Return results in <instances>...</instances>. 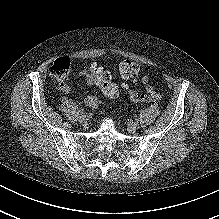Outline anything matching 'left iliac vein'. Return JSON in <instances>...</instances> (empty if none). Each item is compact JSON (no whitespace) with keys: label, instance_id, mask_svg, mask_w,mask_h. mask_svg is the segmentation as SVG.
<instances>
[{"label":"left iliac vein","instance_id":"left-iliac-vein-1","mask_svg":"<svg viewBox=\"0 0 219 219\" xmlns=\"http://www.w3.org/2000/svg\"><path fill=\"white\" fill-rule=\"evenodd\" d=\"M128 129L130 132H134L139 129V123L135 121H130L128 123Z\"/></svg>","mask_w":219,"mask_h":219}]
</instances>
